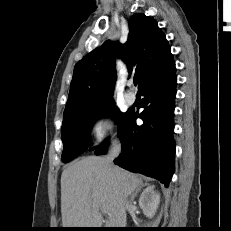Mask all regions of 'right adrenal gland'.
Wrapping results in <instances>:
<instances>
[{"mask_svg": "<svg viewBox=\"0 0 231 231\" xmlns=\"http://www.w3.org/2000/svg\"><path fill=\"white\" fill-rule=\"evenodd\" d=\"M144 186H147V184H142V185L139 187V189H138L134 194H132L131 200H134V198L137 196L139 190H140L142 187H144Z\"/></svg>", "mask_w": 231, "mask_h": 231, "instance_id": "2a0ac1e0", "label": "right adrenal gland"}]
</instances>
